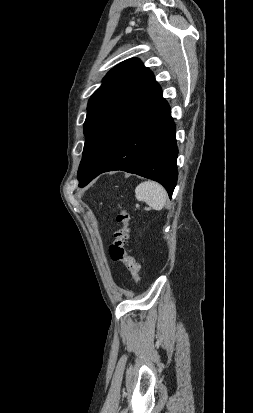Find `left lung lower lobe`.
<instances>
[{"instance_id":"left-lung-lower-lobe-1","label":"left lung lower lobe","mask_w":253,"mask_h":413,"mask_svg":"<svg viewBox=\"0 0 253 413\" xmlns=\"http://www.w3.org/2000/svg\"><path fill=\"white\" fill-rule=\"evenodd\" d=\"M177 155L175 124L162 98L100 169L79 186L84 187L103 172L123 170L159 182L171 197L177 183Z\"/></svg>"}]
</instances>
